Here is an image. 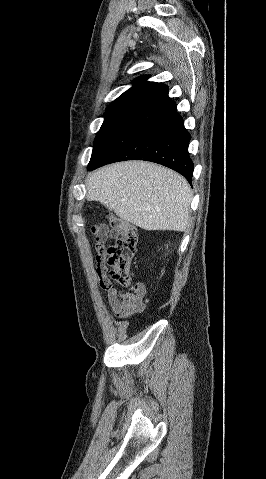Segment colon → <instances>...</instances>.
<instances>
[{
	"label": "colon",
	"instance_id": "5ec220e1",
	"mask_svg": "<svg viewBox=\"0 0 266 479\" xmlns=\"http://www.w3.org/2000/svg\"><path fill=\"white\" fill-rule=\"evenodd\" d=\"M111 229L104 225L93 227L97 237V257H102L109 267L111 282L120 287L132 283V263L136 254L137 232L134 226L112 218ZM114 238V244L106 246L103 241Z\"/></svg>",
	"mask_w": 266,
	"mask_h": 479
}]
</instances>
